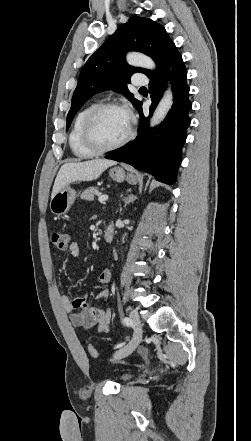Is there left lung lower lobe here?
Returning a JSON list of instances; mask_svg holds the SVG:
<instances>
[{
  "label": "left lung lower lobe",
  "instance_id": "left-lung-lower-lobe-1",
  "mask_svg": "<svg viewBox=\"0 0 251 441\" xmlns=\"http://www.w3.org/2000/svg\"><path fill=\"white\" fill-rule=\"evenodd\" d=\"M166 78L173 83L174 103L165 120L159 126L150 129L149 118H145L140 103L137 107L140 115L137 137L105 158L130 164L138 170L154 175L160 182L173 184L176 182L177 170L181 163L182 146L190 125L188 113L192 107L188 98L187 70L175 45L159 70L150 77L149 93L152 104L149 116L166 89Z\"/></svg>",
  "mask_w": 251,
  "mask_h": 441
}]
</instances>
